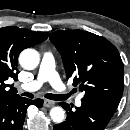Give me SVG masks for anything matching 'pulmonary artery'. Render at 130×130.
Segmentation results:
<instances>
[{
	"label": "pulmonary artery",
	"mask_w": 130,
	"mask_h": 130,
	"mask_svg": "<svg viewBox=\"0 0 130 130\" xmlns=\"http://www.w3.org/2000/svg\"><path fill=\"white\" fill-rule=\"evenodd\" d=\"M45 82H49L58 92L70 96L72 95L67 86L62 82L58 73L55 71V59L53 54L49 51L43 53L37 78L28 83L23 84L21 88L26 91H35L38 90ZM75 102L77 106H80V97H77Z\"/></svg>",
	"instance_id": "e3ab8cb5"
}]
</instances>
